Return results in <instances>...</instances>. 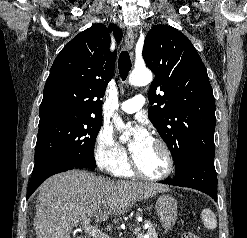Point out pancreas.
<instances>
[{
	"mask_svg": "<svg viewBox=\"0 0 247 238\" xmlns=\"http://www.w3.org/2000/svg\"><path fill=\"white\" fill-rule=\"evenodd\" d=\"M148 238H158L156 230L154 229L153 225L150 224L149 228L147 229ZM138 238H144L143 233H138Z\"/></svg>",
	"mask_w": 247,
	"mask_h": 238,
	"instance_id": "obj_1",
	"label": "pancreas"
}]
</instances>
